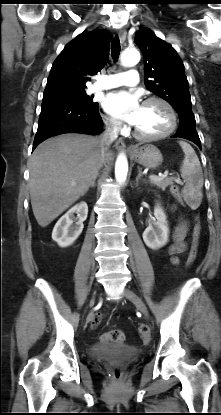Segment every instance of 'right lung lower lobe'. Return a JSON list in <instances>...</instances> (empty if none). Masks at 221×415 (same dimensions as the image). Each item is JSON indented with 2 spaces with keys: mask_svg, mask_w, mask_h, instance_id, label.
I'll list each match as a JSON object with an SVG mask.
<instances>
[{
  "mask_svg": "<svg viewBox=\"0 0 221 415\" xmlns=\"http://www.w3.org/2000/svg\"><path fill=\"white\" fill-rule=\"evenodd\" d=\"M102 129L98 106H85L70 101L45 100L38 122L33 150L47 138L64 133L96 134Z\"/></svg>",
  "mask_w": 221,
  "mask_h": 415,
  "instance_id": "98d812e1",
  "label": "right lung lower lobe"
}]
</instances>
